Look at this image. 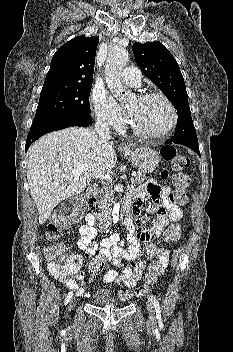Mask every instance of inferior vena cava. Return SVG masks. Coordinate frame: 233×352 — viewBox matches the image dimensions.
<instances>
[{"label": "inferior vena cava", "mask_w": 233, "mask_h": 352, "mask_svg": "<svg viewBox=\"0 0 233 352\" xmlns=\"http://www.w3.org/2000/svg\"><path fill=\"white\" fill-rule=\"evenodd\" d=\"M94 132L103 141H109L111 138L109 123L104 118H97Z\"/></svg>", "instance_id": "1"}]
</instances>
